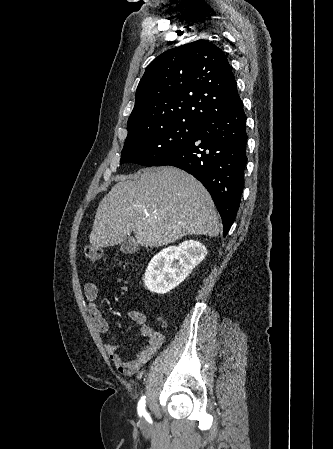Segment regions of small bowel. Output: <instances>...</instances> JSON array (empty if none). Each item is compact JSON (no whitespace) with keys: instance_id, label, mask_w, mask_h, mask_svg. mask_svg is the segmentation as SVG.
<instances>
[{"instance_id":"1","label":"small bowel","mask_w":333,"mask_h":449,"mask_svg":"<svg viewBox=\"0 0 333 449\" xmlns=\"http://www.w3.org/2000/svg\"><path fill=\"white\" fill-rule=\"evenodd\" d=\"M84 295L89 302V316L100 333H107L109 323L99 310L96 300L98 298V287L94 282L84 285ZM129 318L139 326V335L145 340L144 346L136 353L133 359L124 358L119 353V345L107 343L104 348L116 368L124 375H132L140 370L158 351L164 341L161 333L155 332L146 322V316L138 311H131Z\"/></svg>"}]
</instances>
